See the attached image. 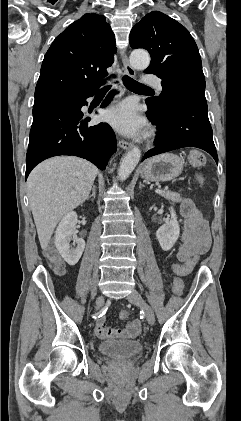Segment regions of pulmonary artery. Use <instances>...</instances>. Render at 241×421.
<instances>
[{"instance_id": "e3ab8cb5", "label": "pulmonary artery", "mask_w": 241, "mask_h": 421, "mask_svg": "<svg viewBox=\"0 0 241 421\" xmlns=\"http://www.w3.org/2000/svg\"><path fill=\"white\" fill-rule=\"evenodd\" d=\"M144 82L146 84L154 86L158 91H162L161 81L154 76L146 77Z\"/></svg>"}]
</instances>
